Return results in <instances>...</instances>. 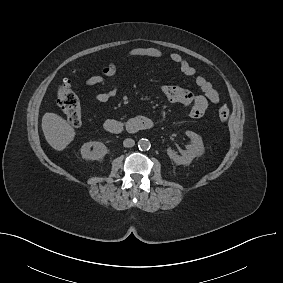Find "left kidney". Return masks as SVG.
Here are the masks:
<instances>
[{
  "label": "left kidney",
  "instance_id": "5707ae66",
  "mask_svg": "<svg viewBox=\"0 0 283 283\" xmlns=\"http://www.w3.org/2000/svg\"><path fill=\"white\" fill-rule=\"evenodd\" d=\"M186 135L191 139L192 144L187 147L181 155L176 154L171 148L167 149V154L171 160H173L178 165H189L192 160L200 155L204 150V145L201 136L192 132L186 131Z\"/></svg>",
  "mask_w": 283,
  "mask_h": 283
}]
</instances>
